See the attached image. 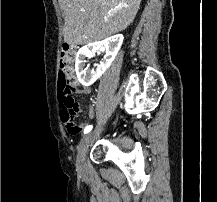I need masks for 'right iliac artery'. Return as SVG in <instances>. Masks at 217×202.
I'll list each match as a JSON object with an SVG mask.
<instances>
[{"instance_id": "right-iliac-artery-1", "label": "right iliac artery", "mask_w": 217, "mask_h": 202, "mask_svg": "<svg viewBox=\"0 0 217 202\" xmlns=\"http://www.w3.org/2000/svg\"><path fill=\"white\" fill-rule=\"evenodd\" d=\"M93 126L92 125H88L87 127H85L84 129V134L90 132L92 130Z\"/></svg>"}]
</instances>
